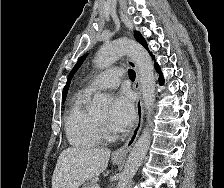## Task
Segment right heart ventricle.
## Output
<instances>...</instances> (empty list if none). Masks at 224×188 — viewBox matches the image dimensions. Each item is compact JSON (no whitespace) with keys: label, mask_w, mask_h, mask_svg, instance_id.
<instances>
[{"label":"right heart ventricle","mask_w":224,"mask_h":188,"mask_svg":"<svg viewBox=\"0 0 224 188\" xmlns=\"http://www.w3.org/2000/svg\"><path fill=\"white\" fill-rule=\"evenodd\" d=\"M91 92H78L65 115V131L68 141L77 148H91L100 141L95 115L88 109Z\"/></svg>","instance_id":"obj_1"}]
</instances>
